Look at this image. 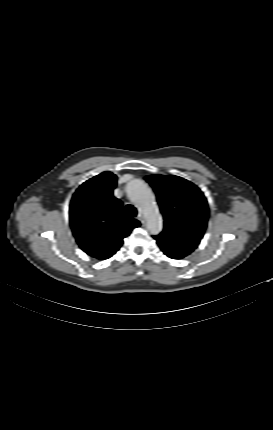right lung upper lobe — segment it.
<instances>
[{
  "mask_svg": "<svg viewBox=\"0 0 273 430\" xmlns=\"http://www.w3.org/2000/svg\"><path fill=\"white\" fill-rule=\"evenodd\" d=\"M116 175L103 172L84 182L74 193L69 210L70 225L79 247L97 259H108L123 238L140 226L123 217V204L113 196Z\"/></svg>",
  "mask_w": 273,
  "mask_h": 430,
  "instance_id": "cb5924a9",
  "label": "right lung upper lobe"
}]
</instances>
